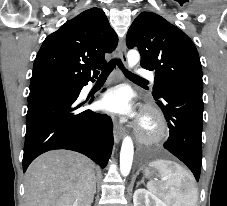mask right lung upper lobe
<instances>
[{
    "mask_svg": "<svg viewBox=\"0 0 227 206\" xmlns=\"http://www.w3.org/2000/svg\"><path fill=\"white\" fill-rule=\"evenodd\" d=\"M118 38L105 13L91 8L67 21L44 40L33 66L31 83L62 80L83 84L98 71L92 68L104 64L105 54L115 50Z\"/></svg>",
    "mask_w": 227,
    "mask_h": 206,
    "instance_id": "obj_1",
    "label": "right lung upper lobe"
}]
</instances>
